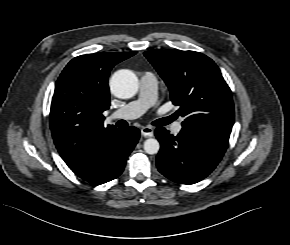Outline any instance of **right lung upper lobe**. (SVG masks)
I'll list each match as a JSON object with an SVG mask.
<instances>
[{
  "mask_svg": "<svg viewBox=\"0 0 290 245\" xmlns=\"http://www.w3.org/2000/svg\"><path fill=\"white\" fill-rule=\"evenodd\" d=\"M136 52L96 53L75 57L59 76L50 109L56 148L71 170L91 163L119 128L103 126L109 108L108 76L117 63Z\"/></svg>",
  "mask_w": 290,
  "mask_h": 245,
  "instance_id": "obj_1",
  "label": "right lung upper lobe"
}]
</instances>
